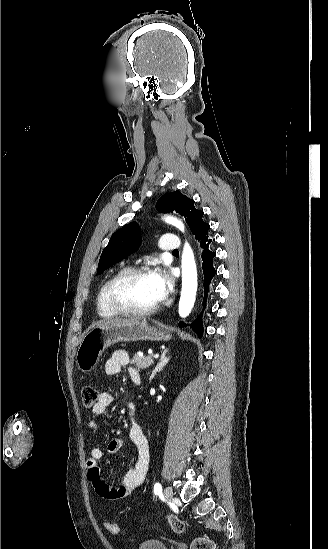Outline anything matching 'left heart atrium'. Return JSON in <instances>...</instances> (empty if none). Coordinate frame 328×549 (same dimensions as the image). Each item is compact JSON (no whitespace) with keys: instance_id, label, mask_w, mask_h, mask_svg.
I'll return each instance as SVG.
<instances>
[{"instance_id":"39dd6f15","label":"left heart atrium","mask_w":328,"mask_h":549,"mask_svg":"<svg viewBox=\"0 0 328 549\" xmlns=\"http://www.w3.org/2000/svg\"><path fill=\"white\" fill-rule=\"evenodd\" d=\"M156 290L160 299L165 298L173 289V276L168 269H157L153 272Z\"/></svg>"}]
</instances>
